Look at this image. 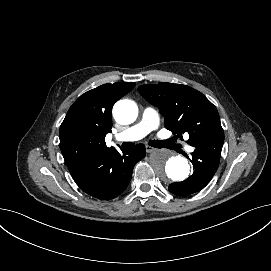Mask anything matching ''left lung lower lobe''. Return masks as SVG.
<instances>
[{"mask_svg":"<svg viewBox=\"0 0 271 271\" xmlns=\"http://www.w3.org/2000/svg\"><path fill=\"white\" fill-rule=\"evenodd\" d=\"M195 148L191 154L194 167L193 175L183 182L172 183L168 187L169 191L175 195L188 196L200 191L210 182L218 169L221 155L211 153L202 146Z\"/></svg>","mask_w":271,"mask_h":271,"instance_id":"1","label":"left lung lower lobe"}]
</instances>
